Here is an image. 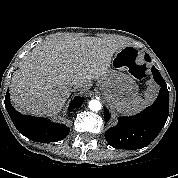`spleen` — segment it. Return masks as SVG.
I'll return each instance as SVG.
<instances>
[{
	"label": "spleen",
	"mask_w": 178,
	"mask_h": 178,
	"mask_svg": "<svg viewBox=\"0 0 178 178\" xmlns=\"http://www.w3.org/2000/svg\"><path fill=\"white\" fill-rule=\"evenodd\" d=\"M156 96V90L149 88L145 93V99L135 96L127 101L116 105L117 110L123 114H132L143 109L147 104L151 103Z\"/></svg>",
	"instance_id": "obj_1"
}]
</instances>
